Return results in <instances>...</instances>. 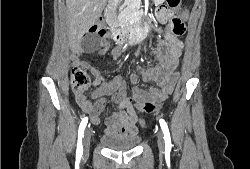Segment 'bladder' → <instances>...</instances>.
<instances>
[{
    "instance_id": "bladder-1",
    "label": "bladder",
    "mask_w": 250,
    "mask_h": 169,
    "mask_svg": "<svg viewBox=\"0 0 250 169\" xmlns=\"http://www.w3.org/2000/svg\"><path fill=\"white\" fill-rule=\"evenodd\" d=\"M141 140V135L130 133H109L100 136L103 147L110 151H133Z\"/></svg>"
}]
</instances>
